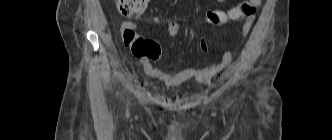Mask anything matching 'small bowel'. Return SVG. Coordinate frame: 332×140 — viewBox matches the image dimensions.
Returning a JSON list of instances; mask_svg holds the SVG:
<instances>
[{"instance_id": "1", "label": "small bowel", "mask_w": 332, "mask_h": 140, "mask_svg": "<svg viewBox=\"0 0 332 140\" xmlns=\"http://www.w3.org/2000/svg\"><path fill=\"white\" fill-rule=\"evenodd\" d=\"M225 1L226 0H217L219 3H224ZM252 22L253 19L248 18L243 23L240 40L244 39L248 35L252 26ZM199 46L201 51H208V43L205 39H201ZM232 57V52L227 50L223 54L222 61L219 64L205 67H190L177 72L168 73L153 67L147 58L141 59L140 65L147 76L161 81L166 88H173L180 86L181 84L192 79H194L200 85L208 84L215 75L224 70L231 63ZM150 87L154 91L159 90V87L156 84H150Z\"/></svg>"}]
</instances>
